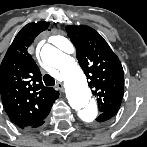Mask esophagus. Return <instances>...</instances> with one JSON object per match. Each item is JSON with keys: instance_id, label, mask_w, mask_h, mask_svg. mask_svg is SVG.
<instances>
[{"instance_id": "esophagus-1", "label": "esophagus", "mask_w": 147, "mask_h": 147, "mask_svg": "<svg viewBox=\"0 0 147 147\" xmlns=\"http://www.w3.org/2000/svg\"><path fill=\"white\" fill-rule=\"evenodd\" d=\"M56 88H57L58 90H60V91H63V90H64V86H63V84H62L61 82H57V83H56Z\"/></svg>"}]
</instances>
